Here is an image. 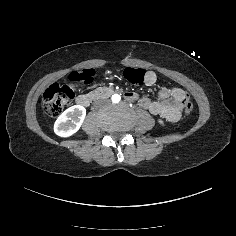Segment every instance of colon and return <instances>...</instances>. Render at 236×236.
<instances>
[{"label": "colon", "mask_w": 236, "mask_h": 236, "mask_svg": "<svg viewBox=\"0 0 236 236\" xmlns=\"http://www.w3.org/2000/svg\"><path fill=\"white\" fill-rule=\"evenodd\" d=\"M94 75L93 69L78 70L69 75V84L51 85L45 91L43 97V105L46 112L51 116H58L74 98L75 88L91 83ZM124 75L129 82L135 85L142 84L150 76L141 68H127L125 69ZM152 79L155 82V76H152ZM182 105L185 114H190L193 109V103L189 95L184 96Z\"/></svg>", "instance_id": "obj_1"}]
</instances>
